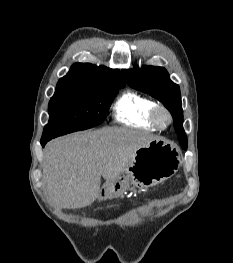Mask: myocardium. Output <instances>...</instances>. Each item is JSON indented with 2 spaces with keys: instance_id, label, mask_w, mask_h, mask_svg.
Masks as SVG:
<instances>
[{
  "instance_id": "obj_1",
  "label": "myocardium",
  "mask_w": 233,
  "mask_h": 263,
  "mask_svg": "<svg viewBox=\"0 0 233 263\" xmlns=\"http://www.w3.org/2000/svg\"><path fill=\"white\" fill-rule=\"evenodd\" d=\"M166 118V121L163 122L162 117ZM152 123L161 130L167 129L173 122L172 114L168 110L167 107H165L162 104H156L150 115Z\"/></svg>"
}]
</instances>
